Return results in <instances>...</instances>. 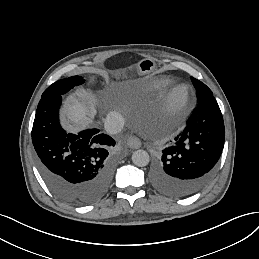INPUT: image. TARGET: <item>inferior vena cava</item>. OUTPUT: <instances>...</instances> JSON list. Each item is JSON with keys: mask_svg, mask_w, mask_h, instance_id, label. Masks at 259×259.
<instances>
[{"mask_svg": "<svg viewBox=\"0 0 259 259\" xmlns=\"http://www.w3.org/2000/svg\"><path fill=\"white\" fill-rule=\"evenodd\" d=\"M124 126V118L117 112H110L105 120V130L109 134L119 133Z\"/></svg>", "mask_w": 259, "mask_h": 259, "instance_id": "obj_1", "label": "inferior vena cava"}]
</instances>
